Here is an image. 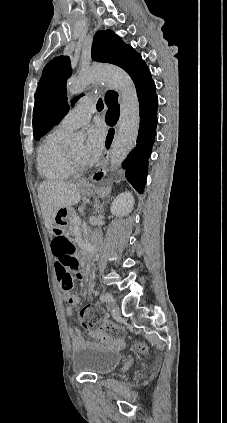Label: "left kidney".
<instances>
[{
	"label": "left kidney",
	"mask_w": 227,
	"mask_h": 423,
	"mask_svg": "<svg viewBox=\"0 0 227 423\" xmlns=\"http://www.w3.org/2000/svg\"><path fill=\"white\" fill-rule=\"evenodd\" d=\"M134 198L131 192H123L112 202L111 213L113 215H128L133 210Z\"/></svg>",
	"instance_id": "1"
}]
</instances>
